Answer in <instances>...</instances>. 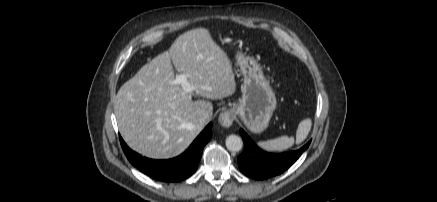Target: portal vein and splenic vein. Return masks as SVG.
<instances>
[{
	"label": "portal vein and splenic vein",
	"instance_id": "portal-vein-and-splenic-vein-1",
	"mask_svg": "<svg viewBox=\"0 0 437 202\" xmlns=\"http://www.w3.org/2000/svg\"><path fill=\"white\" fill-rule=\"evenodd\" d=\"M174 83L181 85L183 90L186 93H190L194 89V87L190 85V83H189V81L187 79V75H185V74L177 75L175 80H174Z\"/></svg>",
	"mask_w": 437,
	"mask_h": 202
}]
</instances>
